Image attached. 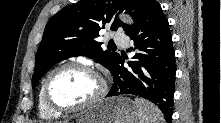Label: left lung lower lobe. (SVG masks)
Here are the masks:
<instances>
[{
  "label": "left lung lower lobe",
  "instance_id": "left-lung-lower-lobe-1",
  "mask_svg": "<svg viewBox=\"0 0 221 123\" xmlns=\"http://www.w3.org/2000/svg\"><path fill=\"white\" fill-rule=\"evenodd\" d=\"M141 30V33L138 32ZM140 53L123 67L120 56L111 74L114 84L107 96L133 94L158 105L170 122L175 92V52L168 20L157 1L150 3L135 28L127 34Z\"/></svg>",
  "mask_w": 221,
  "mask_h": 123
}]
</instances>
